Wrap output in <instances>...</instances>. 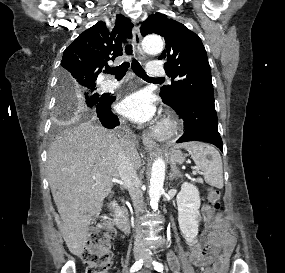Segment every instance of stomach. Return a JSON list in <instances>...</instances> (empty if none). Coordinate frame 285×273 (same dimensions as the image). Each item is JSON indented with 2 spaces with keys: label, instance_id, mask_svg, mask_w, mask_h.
Masks as SVG:
<instances>
[{
  "label": "stomach",
  "instance_id": "obj_1",
  "mask_svg": "<svg viewBox=\"0 0 285 273\" xmlns=\"http://www.w3.org/2000/svg\"><path fill=\"white\" fill-rule=\"evenodd\" d=\"M168 158L172 163L181 164L185 160V155L177 147L171 148L168 153Z\"/></svg>",
  "mask_w": 285,
  "mask_h": 273
}]
</instances>
